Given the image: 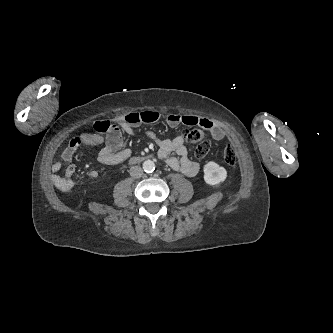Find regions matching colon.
Returning a JSON list of instances; mask_svg holds the SVG:
<instances>
[{
  "label": "colon",
  "mask_w": 333,
  "mask_h": 333,
  "mask_svg": "<svg viewBox=\"0 0 333 333\" xmlns=\"http://www.w3.org/2000/svg\"><path fill=\"white\" fill-rule=\"evenodd\" d=\"M94 129L97 133L106 135L117 129V124L111 120H99L94 123ZM184 140L187 143L198 144L195 149V156L202 159L209 153L210 140L206 132L201 129H194L184 135ZM224 162L234 167L237 164V156L234 148L231 145L225 147L223 151Z\"/></svg>",
  "instance_id": "obj_1"
}]
</instances>
